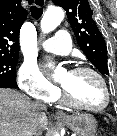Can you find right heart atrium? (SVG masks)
Listing matches in <instances>:
<instances>
[{"label":"right heart atrium","instance_id":"1","mask_svg":"<svg viewBox=\"0 0 117 136\" xmlns=\"http://www.w3.org/2000/svg\"><path fill=\"white\" fill-rule=\"evenodd\" d=\"M18 83L27 96L46 103L53 102L59 93L33 61L23 62L18 72Z\"/></svg>","mask_w":117,"mask_h":136}]
</instances>
